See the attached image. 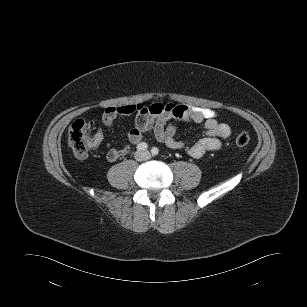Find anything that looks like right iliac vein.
Wrapping results in <instances>:
<instances>
[{"mask_svg": "<svg viewBox=\"0 0 307 307\" xmlns=\"http://www.w3.org/2000/svg\"><path fill=\"white\" fill-rule=\"evenodd\" d=\"M144 157V154L142 152L136 153V159L141 160Z\"/></svg>", "mask_w": 307, "mask_h": 307, "instance_id": "right-iliac-vein-1", "label": "right iliac vein"}]
</instances>
